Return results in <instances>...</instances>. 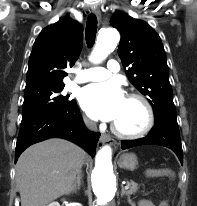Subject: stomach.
Segmentation results:
<instances>
[{
	"label": "stomach",
	"mask_w": 197,
	"mask_h": 206,
	"mask_svg": "<svg viewBox=\"0 0 197 206\" xmlns=\"http://www.w3.org/2000/svg\"><path fill=\"white\" fill-rule=\"evenodd\" d=\"M117 163L120 168L133 171L138 165V159L133 153H125L120 155Z\"/></svg>",
	"instance_id": "stomach-1"
}]
</instances>
